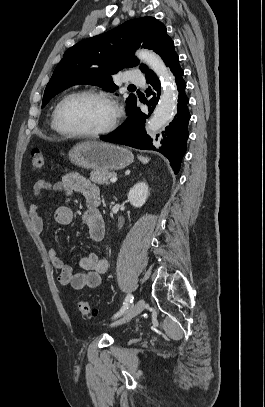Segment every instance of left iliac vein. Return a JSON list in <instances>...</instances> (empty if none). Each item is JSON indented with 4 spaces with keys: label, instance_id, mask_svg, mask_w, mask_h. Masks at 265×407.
<instances>
[{
    "label": "left iliac vein",
    "instance_id": "1",
    "mask_svg": "<svg viewBox=\"0 0 265 407\" xmlns=\"http://www.w3.org/2000/svg\"><path fill=\"white\" fill-rule=\"evenodd\" d=\"M145 308V301L144 299H139L135 305L120 319L116 320L113 322L110 327L118 326L121 325L129 320H131L133 317L137 316L139 313L142 312V310Z\"/></svg>",
    "mask_w": 265,
    "mask_h": 407
}]
</instances>
